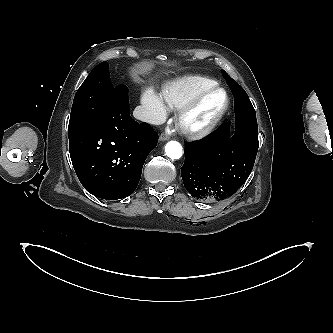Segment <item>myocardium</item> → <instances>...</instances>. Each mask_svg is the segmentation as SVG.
I'll list each match as a JSON object with an SVG mask.
<instances>
[{"mask_svg":"<svg viewBox=\"0 0 333 333\" xmlns=\"http://www.w3.org/2000/svg\"><path fill=\"white\" fill-rule=\"evenodd\" d=\"M215 92H222L224 95V102L219 110L205 123L200 125H193L189 123V117L197 109V107L202 103V101L209 95ZM230 95L228 91L219 85H214L209 87L195 97H193L187 104L179 109L176 117V125L181 133L190 138H202L210 133H212L220 122L225 117L229 107H230Z\"/></svg>","mask_w":333,"mask_h":333,"instance_id":"obj_1","label":"myocardium"}]
</instances>
